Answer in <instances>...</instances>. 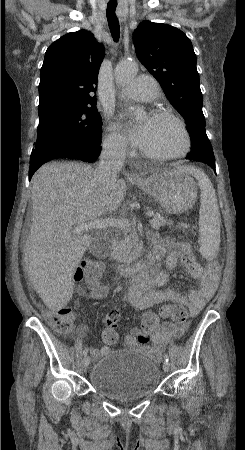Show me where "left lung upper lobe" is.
<instances>
[{
  "instance_id": "obj_1",
  "label": "left lung upper lobe",
  "mask_w": 245,
  "mask_h": 450,
  "mask_svg": "<svg viewBox=\"0 0 245 450\" xmlns=\"http://www.w3.org/2000/svg\"><path fill=\"white\" fill-rule=\"evenodd\" d=\"M141 63L160 83L171 104L185 118L191 135V152L210 147L202 112V93L196 55L190 39L179 29L143 21L133 33Z\"/></svg>"
}]
</instances>
